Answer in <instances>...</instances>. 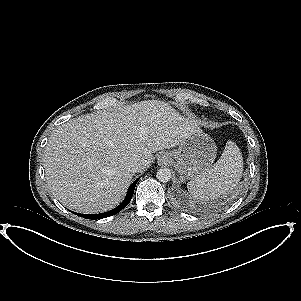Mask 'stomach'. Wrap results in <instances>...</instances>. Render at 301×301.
I'll return each instance as SVG.
<instances>
[{
    "mask_svg": "<svg viewBox=\"0 0 301 301\" xmlns=\"http://www.w3.org/2000/svg\"><path fill=\"white\" fill-rule=\"evenodd\" d=\"M217 154L212 138L195 126H190L187 137L171 152L181 175L194 179L209 169Z\"/></svg>",
    "mask_w": 301,
    "mask_h": 301,
    "instance_id": "1",
    "label": "stomach"
}]
</instances>
